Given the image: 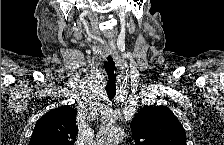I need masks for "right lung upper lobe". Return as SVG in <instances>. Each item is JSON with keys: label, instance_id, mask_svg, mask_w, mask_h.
Listing matches in <instances>:
<instances>
[{"label": "right lung upper lobe", "instance_id": "cb5924a9", "mask_svg": "<svg viewBox=\"0 0 224 145\" xmlns=\"http://www.w3.org/2000/svg\"><path fill=\"white\" fill-rule=\"evenodd\" d=\"M76 112L68 105L47 112L36 122L29 145H72L78 133Z\"/></svg>", "mask_w": 224, "mask_h": 145}]
</instances>
